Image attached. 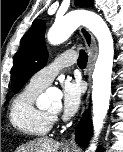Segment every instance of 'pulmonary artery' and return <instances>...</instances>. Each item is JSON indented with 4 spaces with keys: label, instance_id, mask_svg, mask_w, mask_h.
<instances>
[{
    "label": "pulmonary artery",
    "instance_id": "pulmonary-artery-1",
    "mask_svg": "<svg viewBox=\"0 0 123 152\" xmlns=\"http://www.w3.org/2000/svg\"><path fill=\"white\" fill-rule=\"evenodd\" d=\"M76 61L77 55L75 52L65 51L61 53L51 64L36 72L31 77L29 85L44 89L51 84V82L54 80L62 68L72 65Z\"/></svg>",
    "mask_w": 123,
    "mask_h": 152
}]
</instances>
